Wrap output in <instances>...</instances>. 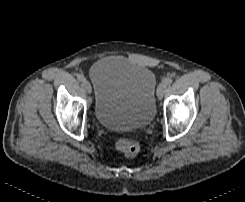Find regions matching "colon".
Wrapping results in <instances>:
<instances>
[{
  "mask_svg": "<svg viewBox=\"0 0 245 202\" xmlns=\"http://www.w3.org/2000/svg\"><path fill=\"white\" fill-rule=\"evenodd\" d=\"M116 148L126 157H134L140 150V145L132 139H121L116 143Z\"/></svg>",
  "mask_w": 245,
  "mask_h": 202,
  "instance_id": "5ec220e1",
  "label": "colon"
}]
</instances>
